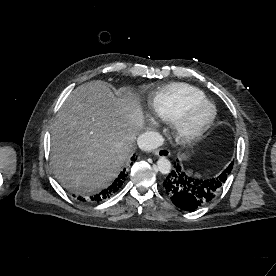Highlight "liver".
Segmentation results:
<instances>
[{"label": "liver", "mask_w": 276, "mask_h": 276, "mask_svg": "<svg viewBox=\"0 0 276 276\" xmlns=\"http://www.w3.org/2000/svg\"><path fill=\"white\" fill-rule=\"evenodd\" d=\"M140 100L123 88L118 97L94 80L71 92L51 132V164L61 185L76 195L97 192L118 175L144 127Z\"/></svg>", "instance_id": "6515ba94"}]
</instances>
